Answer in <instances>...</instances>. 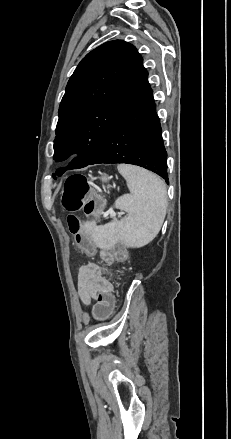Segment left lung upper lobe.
I'll use <instances>...</instances> for the list:
<instances>
[{
  "mask_svg": "<svg viewBox=\"0 0 231 439\" xmlns=\"http://www.w3.org/2000/svg\"><path fill=\"white\" fill-rule=\"evenodd\" d=\"M147 77L136 48L122 40L106 42L82 59L60 103L53 156L57 162L73 153L78 157L58 169V176L89 164Z\"/></svg>",
  "mask_w": 231,
  "mask_h": 439,
  "instance_id": "1",
  "label": "left lung upper lobe"
}]
</instances>
